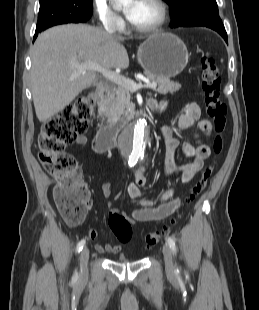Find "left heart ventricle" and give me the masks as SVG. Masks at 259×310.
Wrapping results in <instances>:
<instances>
[{
    "label": "left heart ventricle",
    "mask_w": 259,
    "mask_h": 310,
    "mask_svg": "<svg viewBox=\"0 0 259 310\" xmlns=\"http://www.w3.org/2000/svg\"><path fill=\"white\" fill-rule=\"evenodd\" d=\"M131 5L132 2L128 3L127 8ZM159 16L160 11L151 0H138L131 23L139 27H147L156 23Z\"/></svg>",
    "instance_id": "obj_1"
}]
</instances>
